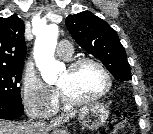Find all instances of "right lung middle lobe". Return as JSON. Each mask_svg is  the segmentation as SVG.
<instances>
[{"mask_svg": "<svg viewBox=\"0 0 153 134\" xmlns=\"http://www.w3.org/2000/svg\"><path fill=\"white\" fill-rule=\"evenodd\" d=\"M21 67H0V99L22 103L20 88L17 83L22 77Z\"/></svg>", "mask_w": 153, "mask_h": 134, "instance_id": "dd1d6c3e", "label": "right lung middle lobe"}]
</instances>
